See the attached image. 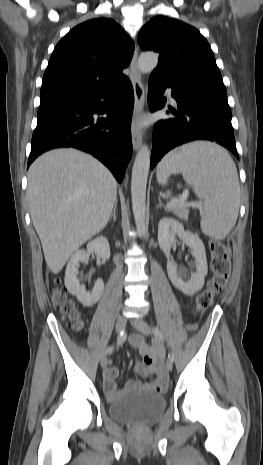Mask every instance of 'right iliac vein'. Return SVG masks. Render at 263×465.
I'll return each mask as SVG.
<instances>
[{"label":"right iliac vein","instance_id":"obj_1","mask_svg":"<svg viewBox=\"0 0 263 465\" xmlns=\"http://www.w3.org/2000/svg\"><path fill=\"white\" fill-rule=\"evenodd\" d=\"M126 326V318L124 315H119L115 325L116 333H120ZM100 365L102 368H105L107 365V356L106 354L101 358Z\"/></svg>","mask_w":263,"mask_h":465}]
</instances>
